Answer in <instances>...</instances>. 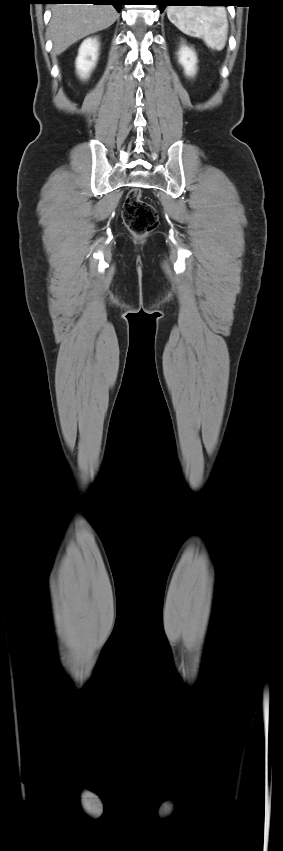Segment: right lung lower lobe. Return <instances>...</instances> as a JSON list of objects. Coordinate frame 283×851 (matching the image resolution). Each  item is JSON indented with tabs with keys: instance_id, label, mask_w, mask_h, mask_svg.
Instances as JSON below:
<instances>
[{
	"instance_id": "right-lung-lower-lobe-1",
	"label": "right lung lower lobe",
	"mask_w": 283,
	"mask_h": 851,
	"mask_svg": "<svg viewBox=\"0 0 283 851\" xmlns=\"http://www.w3.org/2000/svg\"><path fill=\"white\" fill-rule=\"evenodd\" d=\"M44 3L47 4H99V5H113L115 9L119 12L121 10V5L123 4V0H45Z\"/></svg>"
}]
</instances>
